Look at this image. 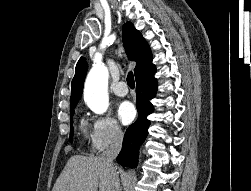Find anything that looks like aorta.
Segmentation results:
<instances>
[{"label":"aorta","mask_w":251,"mask_h":191,"mask_svg":"<svg viewBox=\"0 0 251 191\" xmlns=\"http://www.w3.org/2000/svg\"><path fill=\"white\" fill-rule=\"evenodd\" d=\"M108 70L97 56L84 86V99L94 113H104L109 105L107 94Z\"/></svg>","instance_id":"762f6f07"}]
</instances>
